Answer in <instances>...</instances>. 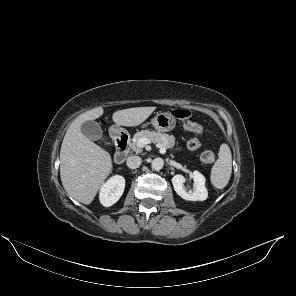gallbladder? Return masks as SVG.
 <instances>
[{
  "instance_id": "bac80fb5",
  "label": "gallbladder",
  "mask_w": 296,
  "mask_h": 296,
  "mask_svg": "<svg viewBox=\"0 0 296 296\" xmlns=\"http://www.w3.org/2000/svg\"><path fill=\"white\" fill-rule=\"evenodd\" d=\"M81 132L90 140L103 139V131L96 121H85L81 125Z\"/></svg>"
}]
</instances>
